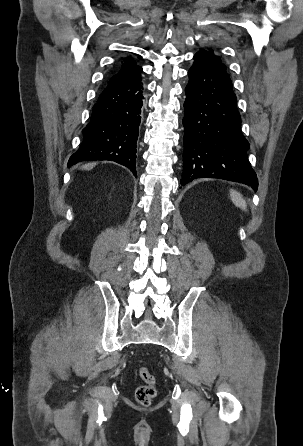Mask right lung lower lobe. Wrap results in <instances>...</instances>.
<instances>
[{"instance_id": "right-lung-lower-lobe-1", "label": "right lung lower lobe", "mask_w": 303, "mask_h": 446, "mask_svg": "<svg viewBox=\"0 0 303 446\" xmlns=\"http://www.w3.org/2000/svg\"><path fill=\"white\" fill-rule=\"evenodd\" d=\"M141 76L107 85L93 107L83 141L68 166L81 161L109 160L136 175V142L143 105Z\"/></svg>"}]
</instances>
